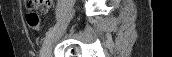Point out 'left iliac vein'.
I'll return each mask as SVG.
<instances>
[{
	"label": "left iliac vein",
	"instance_id": "4c4485c4",
	"mask_svg": "<svg viewBox=\"0 0 172 57\" xmlns=\"http://www.w3.org/2000/svg\"><path fill=\"white\" fill-rule=\"evenodd\" d=\"M52 41H53V38H51L47 41L46 46H45L43 53H42V57H48L49 56V48H50Z\"/></svg>",
	"mask_w": 172,
	"mask_h": 57
}]
</instances>
